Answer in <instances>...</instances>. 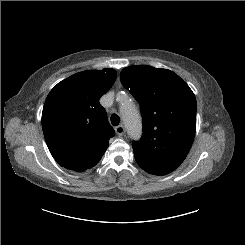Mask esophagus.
Returning <instances> with one entry per match:
<instances>
[{
	"instance_id": "1",
	"label": "esophagus",
	"mask_w": 245,
	"mask_h": 245,
	"mask_svg": "<svg viewBox=\"0 0 245 245\" xmlns=\"http://www.w3.org/2000/svg\"><path fill=\"white\" fill-rule=\"evenodd\" d=\"M116 134L122 136L125 133V129L122 125H119L115 128Z\"/></svg>"
}]
</instances>
